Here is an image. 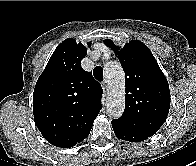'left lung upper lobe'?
I'll return each instance as SVG.
<instances>
[{"label":"left lung upper lobe","instance_id":"left-lung-upper-lobe-1","mask_svg":"<svg viewBox=\"0 0 196 166\" xmlns=\"http://www.w3.org/2000/svg\"><path fill=\"white\" fill-rule=\"evenodd\" d=\"M125 72V110L119 119L124 128L151 137L163 125L170 108V90L166 77L151 51L139 40L120 47L106 39Z\"/></svg>","mask_w":196,"mask_h":166}]
</instances>
